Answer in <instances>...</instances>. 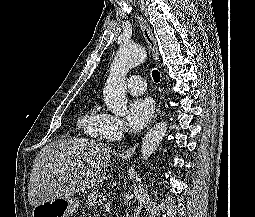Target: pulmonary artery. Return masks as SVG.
I'll use <instances>...</instances> for the list:
<instances>
[{"label":"pulmonary artery","mask_w":255,"mask_h":217,"mask_svg":"<svg viewBox=\"0 0 255 217\" xmlns=\"http://www.w3.org/2000/svg\"><path fill=\"white\" fill-rule=\"evenodd\" d=\"M127 90L133 95H141L146 91V82L142 76L132 75L126 80Z\"/></svg>","instance_id":"pulmonary-artery-1"}]
</instances>
